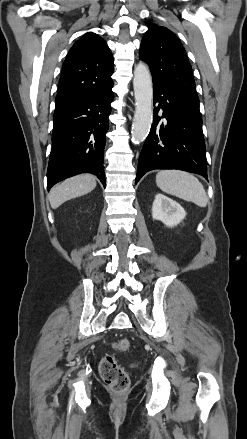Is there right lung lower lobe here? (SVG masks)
Masks as SVG:
<instances>
[{"label":"right lung lower lobe","instance_id":"1","mask_svg":"<svg viewBox=\"0 0 247 439\" xmlns=\"http://www.w3.org/2000/svg\"><path fill=\"white\" fill-rule=\"evenodd\" d=\"M112 86L55 109L53 145L47 170L48 190L54 184L80 173L94 174L106 186L103 163L113 99Z\"/></svg>","mask_w":247,"mask_h":439}]
</instances>
